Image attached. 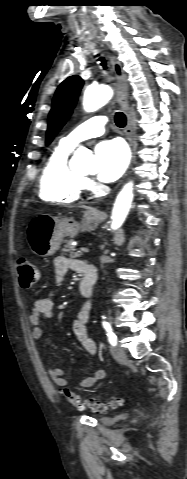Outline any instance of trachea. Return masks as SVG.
I'll use <instances>...</instances> for the list:
<instances>
[{
    "mask_svg": "<svg viewBox=\"0 0 187 479\" xmlns=\"http://www.w3.org/2000/svg\"><path fill=\"white\" fill-rule=\"evenodd\" d=\"M101 61V65L106 69V61L103 57L99 59ZM115 123L118 127H124L126 125V116L122 112H117L115 114Z\"/></svg>",
    "mask_w": 187,
    "mask_h": 479,
    "instance_id": "1",
    "label": "trachea"
}]
</instances>
